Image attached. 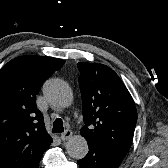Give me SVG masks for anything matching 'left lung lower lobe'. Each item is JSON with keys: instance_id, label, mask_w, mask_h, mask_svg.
<instances>
[{"instance_id": "obj_1", "label": "left lung lower lobe", "mask_w": 168, "mask_h": 168, "mask_svg": "<svg viewBox=\"0 0 168 168\" xmlns=\"http://www.w3.org/2000/svg\"><path fill=\"white\" fill-rule=\"evenodd\" d=\"M89 152L78 160L79 168H118L124 156L103 146L88 142Z\"/></svg>"}]
</instances>
